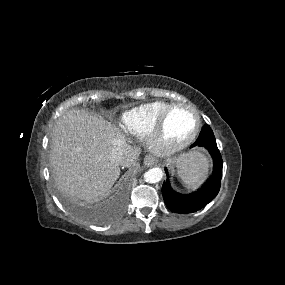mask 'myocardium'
Segmentation results:
<instances>
[{"label": "myocardium", "instance_id": "myocardium-1", "mask_svg": "<svg viewBox=\"0 0 285 285\" xmlns=\"http://www.w3.org/2000/svg\"><path fill=\"white\" fill-rule=\"evenodd\" d=\"M186 109L191 111L195 117H196V126L192 133L186 137L185 139L179 141V142H168L164 138V130L166 122L171 115V113L177 109ZM202 128V119L200 116V113L196 108L189 104L185 103H175L172 104L168 109H166L154 127L151 129V131L148 133L146 138V144L148 149L157 156L160 157H166L173 155L186 147H188L191 143L195 141V139L198 137L200 131Z\"/></svg>", "mask_w": 285, "mask_h": 285}]
</instances>
